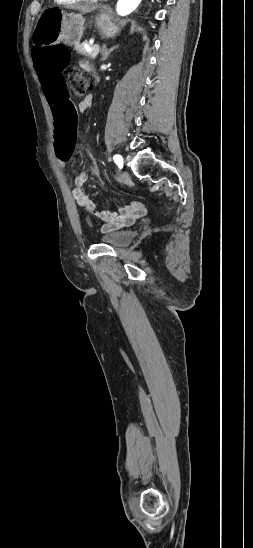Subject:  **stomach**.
<instances>
[{
  "instance_id": "1",
  "label": "stomach",
  "mask_w": 253,
  "mask_h": 548,
  "mask_svg": "<svg viewBox=\"0 0 253 548\" xmlns=\"http://www.w3.org/2000/svg\"><path fill=\"white\" fill-rule=\"evenodd\" d=\"M84 22L81 14H68L60 9L47 10L38 19L34 42L43 45L60 42L69 46L77 45L85 30ZM96 29L106 38L114 37L120 30L107 11L97 15Z\"/></svg>"
}]
</instances>
